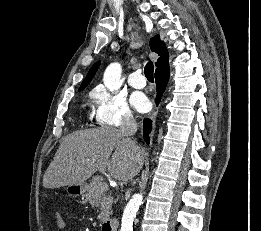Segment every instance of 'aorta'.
Wrapping results in <instances>:
<instances>
[{"label": "aorta", "mask_w": 261, "mask_h": 231, "mask_svg": "<svg viewBox=\"0 0 261 231\" xmlns=\"http://www.w3.org/2000/svg\"><path fill=\"white\" fill-rule=\"evenodd\" d=\"M121 73L122 67L119 63H112L106 68L103 82L110 91L118 90L121 87ZM142 200V194H136L128 202L123 212L120 231H133V220Z\"/></svg>", "instance_id": "obj_1"}]
</instances>
